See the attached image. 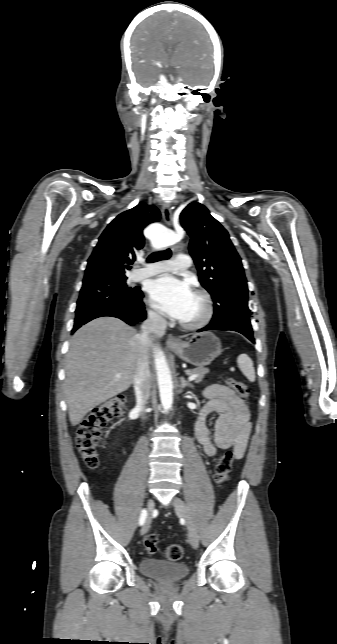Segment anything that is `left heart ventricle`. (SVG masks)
Instances as JSON below:
<instances>
[{
    "mask_svg": "<svg viewBox=\"0 0 337 644\" xmlns=\"http://www.w3.org/2000/svg\"><path fill=\"white\" fill-rule=\"evenodd\" d=\"M202 309L203 307L201 300L197 296L193 295L187 312L181 320L192 321L197 319L201 315Z\"/></svg>",
    "mask_w": 337,
    "mask_h": 644,
    "instance_id": "1",
    "label": "left heart ventricle"
}]
</instances>
